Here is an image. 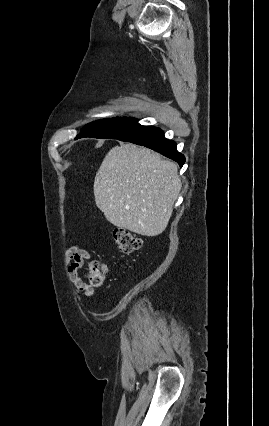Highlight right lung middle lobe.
<instances>
[{
	"label": "right lung middle lobe",
	"mask_w": 269,
	"mask_h": 426,
	"mask_svg": "<svg viewBox=\"0 0 269 426\" xmlns=\"http://www.w3.org/2000/svg\"><path fill=\"white\" fill-rule=\"evenodd\" d=\"M139 126L140 124L134 118L117 117L103 119L87 124L77 138L93 137L119 139L129 135Z\"/></svg>",
	"instance_id": "right-lung-middle-lobe-1"
}]
</instances>
